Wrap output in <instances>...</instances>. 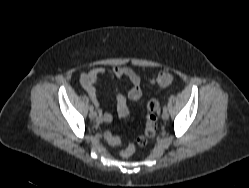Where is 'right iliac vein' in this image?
<instances>
[{
  "label": "right iliac vein",
  "mask_w": 249,
  "mask_h": 188,
  "mask_svg": "<svg viewBox=\"0 0 249 188\" xmlns=\"http://www.w3.org/2000/svg\"><path fill=\"white\" fill-rule=\"evenodd\" d=\"M97 114L95 111H91L90 114H89V117L91 120H94L96 118Z\"/></svg>",
  "instance_id": "1"
}]
</instances>
